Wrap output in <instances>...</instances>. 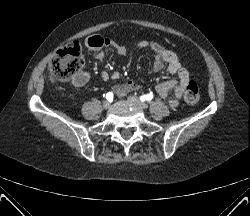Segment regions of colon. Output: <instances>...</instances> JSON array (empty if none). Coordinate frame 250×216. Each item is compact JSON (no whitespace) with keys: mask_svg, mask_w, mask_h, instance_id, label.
<instances>
[{"mask_svg":"<svg viewBox=\"0 0 250 216\" xmlns=\"http://www.w3.org/2000/svg\"><path fill=\"white\" fill-rule=\"evenodd\" d=\"M84 65V59L77 44L63 47L57 51L49 64V77L53 81L64 82L79 72ZM184 99L189 104H195L200 99V91L195 81H189Z\"/></svg>","mask_w":250,"mask_h":216,"instance_id":"obj_1","label":"colon"}]
</instances>
